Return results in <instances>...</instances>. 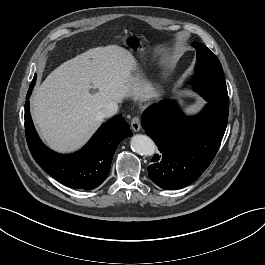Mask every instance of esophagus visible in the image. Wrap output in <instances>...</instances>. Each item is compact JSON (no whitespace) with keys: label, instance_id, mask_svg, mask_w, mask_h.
Returning a JSON list of instances; mask_svg holds the SVG:
<instances>
[{"label":"esophagus","instance_id":"esophagus-1","mask_svg":"<svg viewBox=\"0 0 265 265\" xmlns=\"http://www.w3.org/2000/svg\"><path fill=\"white\" fill-rule=\"evenodd\" d=\"M131 127L134 132H138L141 129V122L139 117L135 116L134 118H132Z\"/></svg>","mask_w":265,"mask_h":265}]
</instances>
